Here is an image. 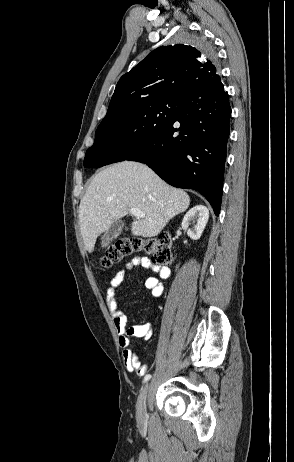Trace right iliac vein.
I'll return each instance as SVG.
<instances>
[{"mask_svg":"<svg viewBox=\"0 0 294 462\" xmlns=\"http://www.w3.org/2000/svg\"><path fill=\"white\" fill-rule=\"evenodd\" d=\"M149 390V385L147 384L141 391L137 404H136V414L139 422H143L146 418V399Z\"/></svg>","mask_w":294,"mask_h":462,"instance_id":"1","label":"right iliac vein"}]
</instances>
